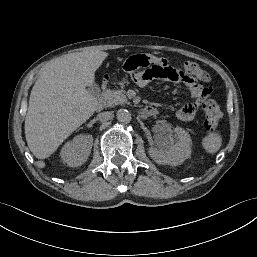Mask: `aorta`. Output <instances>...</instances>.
Returning a JSON list of instances; mask_svg holds the SVG:
<instances>
[{
	"label": "aorta",
	"mask_w": 257,
	"mask_h": 257,
	"mask_svg": "<svg viewBox=\"0 0 257 257\" xmlns=\"http://www.w3.org/2000/svg\"><path fill=\"white\" fill-rule=\"evenodd\" d=\"M119 122L127 124L131 121V113L127 109H119L116 113Z\"/></svg>",
	"instance_id": "1"
}]
</instances>
